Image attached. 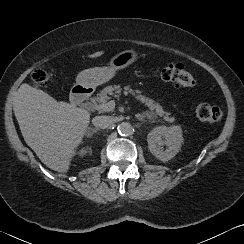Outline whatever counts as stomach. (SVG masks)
Returning <instances> with one entry per match:
<instances>
[{"label":"stomach","instance_id":"0dacf381","mask_svg":"<svg viewBox=\"0 0 244 244\" xmlns=\"http://www.w3.org/2000/svg\"><path fill=\"white\" fill-rule=\"evenodd\" d=\"M139 52L134 49L123 50L114 55L106 67H95L80 72L76 78V85L82 88H96L111 80L115 74L139 59Z\"/></svg>","mask_w":244,"mask_h":244}]
</instances>
